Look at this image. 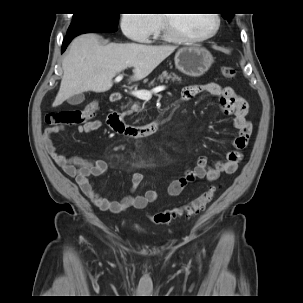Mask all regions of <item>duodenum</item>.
Here are the masks:
<instances>
[{
	"label": "duodenum",
	"mask_w": 303,
	"mask_h": 303,
	"mask_svg": "<svg viewBox=\"0 0 303 303\" xmlns=\"http://www.w3.org/2000/svg\"><path fill=\"white\" fill-rule=\"evenodd\" d=\"M110 100L113 103H117L121 100V95L119 93H112ZM170 108H172V105L165 108L164 111L154 121L146 125L126 124L123 121L122 114L118 110L111 112L108 116V119L113 125V130L118 135H122L126 138L144 137L156 132L161 127L163 115Z\"/></svg>",
	"instance_id": "1"
}]
</instances>
